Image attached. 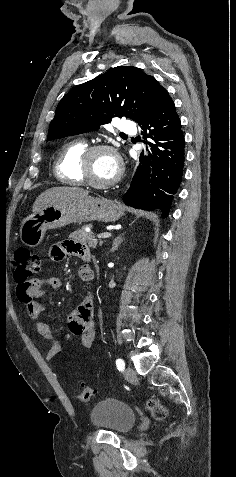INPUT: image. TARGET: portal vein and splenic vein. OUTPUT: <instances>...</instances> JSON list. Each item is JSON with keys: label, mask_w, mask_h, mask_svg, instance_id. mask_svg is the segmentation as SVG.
I'll return each mask as SVG.
<instances>
[{"label": "portal vein and splenic vein", "mask_w": 236, "mask_h": 477, "mask_svg": "<svg viewBox=\"0 0 236 477\" xmlns=\"http://www.w3.org/2000/svg\"><path fill=\"white\" fill-rule=\"evenodd\" d=\"M111 235H112L111 233L105 232V233L98 234L97 237H98L99 239H101V238L105 239V238H110Z\"/></svg>", "instance_id": "portal-vein-and-splenic-vein-1"}]
</instances>
